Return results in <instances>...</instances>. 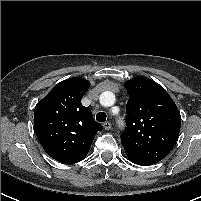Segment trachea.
I'll return each instance as SVG.
<instances>
[{
  "mask_svg": "<svg viewBox=\"0 0 201 201\" xmlns=\"http://www.w3.org/2000/svg\"><path fill=\"white\" fill-rule=\"evenodd\" d=\"M106 118H107V115H106V113H104V112H99V113H97V115H96V120L98 121V122H105L106 121Z\"/></svg>",
  "mask_w": 201,
  "mask_h": 201,
  "instance_id": "obj_1",
  "label": "trachea"
}]
</instances>
